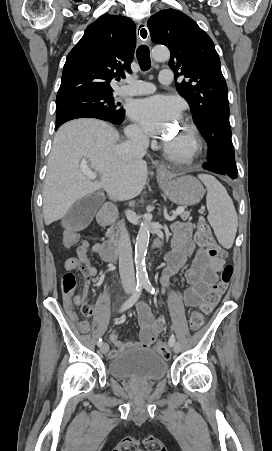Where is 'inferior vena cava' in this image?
Returning <instances> with one entry per match:
<instances>
[{"label": "inferior vena cava", "instance_id": "602c4592", "mask_svg": "<svg viewBox=\"0 0 272 451\" xmlns=\"http://www.w3.org/2000/svg\"><path fill=\"white\" fill-rule=\"evenodd\" d=\"M127 138L128 142H124V144H120V146H118L119 156L122 158L123 162H129V160H132L134 156H136V158H143L146 154L147 148H149V140L147 136H145L143 132H140V130H134V132H131ZM118 251L121 281L124 287H135V273L132 259L131 241L124 224H121L120 227Z\"/></svg>", "mask_w": 272, "mask_h": 451}]
</instances>
